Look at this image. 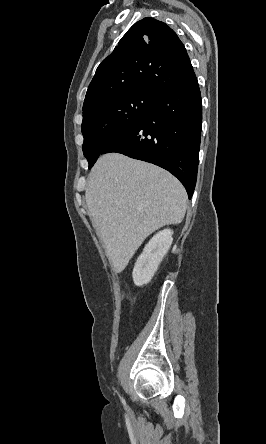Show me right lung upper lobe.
<instances>
[{
	"mask_svg": "<svg viewBox=\"0 0 266 444\" xmlns=\"http://www.w3.org/2000/svg\"><path fill=\"white\" fill-rule=\"evenodd\" d=\"M195 77L183 43L164 22L146 17L121 38L98 66L83 111L109 96L146 91L161 96Z\"/></svg>",
	"mask_w": 266,
	"mask_h": 444,
	"instance_id": "1",
	"label": "right lung upper lobe"
}]
</instances>
